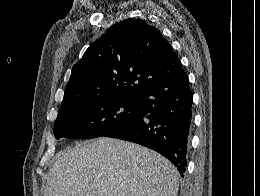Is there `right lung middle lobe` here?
Wrapping results in <instances>:
<instances>
[{"mask_svg":"<svg viewBox=\"0 0 260 196\" xmlns=\"http://www.w3.org/2000/svg\"><path fill=\"white\" fill-rule=\"evenodd\" d=\"M141 118L137 97L103 94L60 109L54 135L56 139L105 137Z\"/></svg>","mask_w":260,"mask_h":196,"instance_id":"obj_1","label":"right lung middle lobe"}]
</instances>
